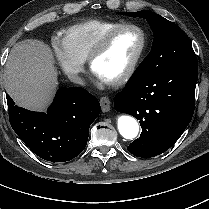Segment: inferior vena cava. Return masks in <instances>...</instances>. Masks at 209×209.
Listing matches in <instances>:
<instances>
[{"label": "inferior vena cava", "mask_w": 209, "mask_h": 209, "mask_svg": "<svg viewBox=\"0 0 209 209\" xmlns=\"http://www.w3.org/2000/svg\"><path fill=\"white\" fill-rule=\"evenodd\" d=\"M69 79L74 82V83H77V84H80V85H84L85 84V81L83 78H81L80 76L76 75V74H71L69 75Z\"/></svg>", "instance_id": "602c4592"}]
</instances>
